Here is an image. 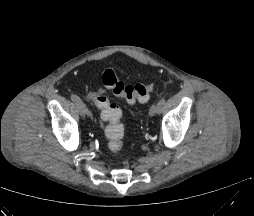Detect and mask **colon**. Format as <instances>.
Masks as SVG:
<instances>
[{
    "instance_id": "1",
    "label": "colon",
    "mask_w": 254,
    "mask_h": 216,
    "mask_svg": "<svg viewBox=\"0 0 254 216\" xmlns=\"http://www.w3.org/2000/svg\"><path fill=\"white\" fill-rule=\"evenodd\" d=\"M103 85L112 91V93L128 104H134L137 101L146 102L154 90L151 82H142L136 84H125L120 80L116 70L109 68L102 74ZM97 107L101 110V118L107 124L104 132L108 139V149L111 153H118L124 146V126L120 122L121 109L102 94L95 93Z\"/></svg>"
}]
</instances>
